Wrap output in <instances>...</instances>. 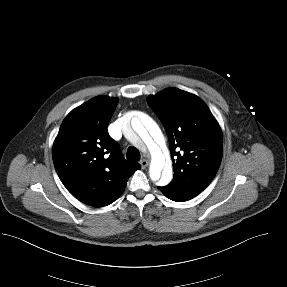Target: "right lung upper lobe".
<instances>
[{
	"mask_svg": "<svg viewBox=\"0 0 287 287\" xmlns=\"http://www.w3.org/2000/svg\"><path fill=\"white\" fill-rule=\"evenodd\" d=\"M117 103L116 98L97 96L75 108L62 122L53 144V162L63 185L96 208L113 203L128 178L141 168L125 160L108 134Z\"/></svg>",
	"mask_w": 287,
	"mask_h": 287,
	"instance_id": "obj_1",
	"label": "right lung upper lobe"
}]
</instances>
